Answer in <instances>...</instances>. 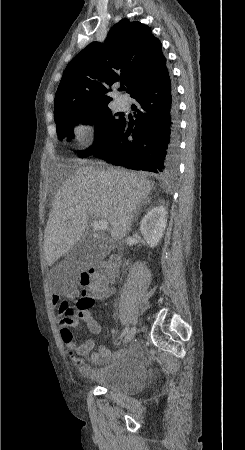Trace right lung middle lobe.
Instances as JSON below:
<instances>
[{
    "label": "right lung middle lobe",
    "instance_id": "obj_1",
    "mask_svg": "<svg viewBox=\"0 0 245 450\" xmlns=\"http://www.w3.org/2000/svg\"><path fill=\"white\" fill-rule=\"evenodd\" d=\"M54 117L59 136L72 138L73 126L78 121H95L98 129V139L95 146L80 151L78 157L85 158L99 152L110 145L124 119L121 114L113 115L107 105L99 107L81 108L74 104L54 107Z\"/></svg>",
    "mask_w": 245,
    "mask_h": 450
}]
</instances>
